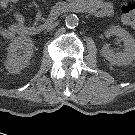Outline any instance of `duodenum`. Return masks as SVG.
<instances>
[{"mask_svg":"<svg viewBox=\"0 0 135 135\" xmlns=\"http://www.w3.org/2000/svg\"><path fill=\"white\" fill-rule=\"evenodd\" d=\"M69 5L72 9L78 10L80 12H89V9L86 6V4L79 3V2H76L73 0L69 3ZM25 32L26 33L32 32L33 34L38 35V34L43 32V28L40 26L36 27L35 29H28L27 28V29H25Z\"/></svg>","mask_w":135,"mask_h":135,"instance_id":"1","label":"duodenum"}]
</instances>
